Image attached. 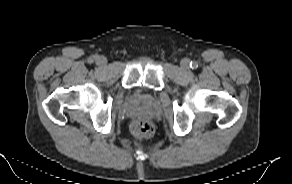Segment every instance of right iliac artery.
Instances as JSON below:
<instances>
[{"label":"right iliac artery","mask_w":292,"mask_h":184,"mask_svg":"<svg viewBox=\"0 0 292 184\" xmlns=\"http://www.w3.org/2000/svg\"><path fill=\"white\" fill-rule=\"evenodd\" d=\"M90 62H93V59H90Z\"/></svg>","instance_id":"1"}]
</instances>
